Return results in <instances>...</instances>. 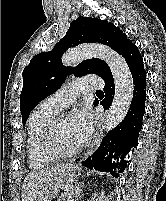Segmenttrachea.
<instances>
[{"label":"trachea","instance_id":"obj_1","mask_svg":"<svg viewBox=\"0 0 166 201\" xmlns=\"http://www.w3.org/2000/svg\"><path fill=\"white\" fill-rule=\"evenodd\" d=\"M96 93H103L102 91H96Z\"/></svg>","mask_w":166,"mask_h":201}]
</instances>
